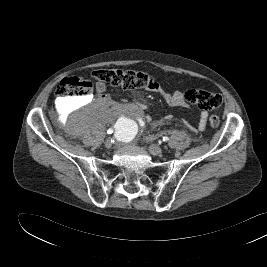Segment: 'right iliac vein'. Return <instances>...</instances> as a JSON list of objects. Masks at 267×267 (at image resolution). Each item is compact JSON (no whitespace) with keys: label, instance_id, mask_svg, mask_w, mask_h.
<instances>
[{"label":"right iliac vein","instance_id":"obj_1","mask_svg":"<svg viewBox=\"0 0 267 267\" xmlns=\"http://www.w3.org/2000/svg\"><path fill=\"white\" fill-rule=\"evenodd\" d=\"M112 146V141L110 138L106 139L105 141V147L106 148H110Z\"/></svg>","mask_w":267,"mask_h":267}]
</instances>
